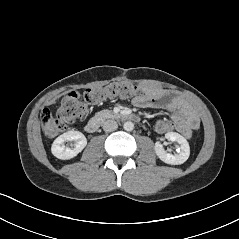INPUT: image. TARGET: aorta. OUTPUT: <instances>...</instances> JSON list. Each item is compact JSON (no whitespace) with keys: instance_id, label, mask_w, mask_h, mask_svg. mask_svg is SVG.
<instances>
[{"instance_id":"762f6f07","label":"aorta","mask_w":239,"mask_h":239,"mask_svg":"<svg viewBox=\"0 0 239 239\" xmlns=\"http://www.w3.org/2000/svg\"><path fill=\"white\" fill-rule=\"evenodd\" d=\"M123 128L125 131H132L134 129V124L131 121L124 123Z\"/></svg>"}]
</instances>
